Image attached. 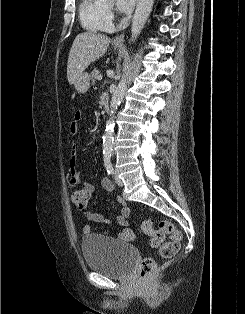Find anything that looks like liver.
<instances>
[{
	"label": "liver",
	"instance_id": "liver-1",
	"mask_svg": "<svg viewBox=\"0 0 245 314\" xmlns=\"http://www.w3.org/2000/svg\"><path fill=\"white\" fill-rule=\"evenodd\" d=\"M106 35L84 32L76 36L70 49L67 63V78L70 85L94 61L103 57L110 44Z\"/></svg>",
	"mask_w": 245,
	"mask_h": 314
}]
</instances>
